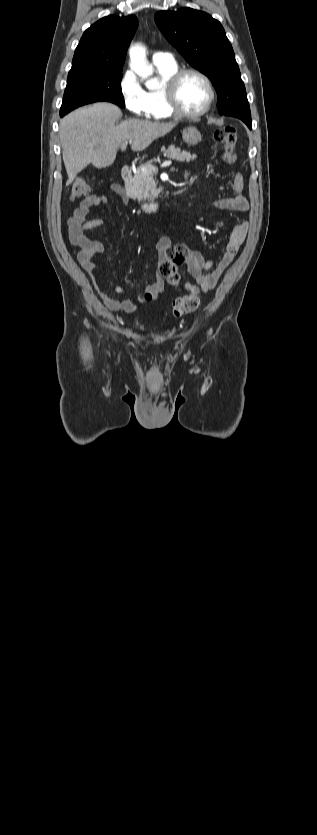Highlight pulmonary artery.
Instances as JSON below:
<instances>
[{
	"label": "pulmonary artery",
	"instance_id": "1",
	"mask_svg": "<svg viewBox=\"0 0 317 835\" xmlns=\"http://www.w3.org/2000/svg\"><path fill=\"white\" fill-rule=\"evenodd\" d=\"M154 65L170 64L174 62L173 56L166 52H156L152 56Z\"/></svg>",
	"mask_w": 317,
	"mask_h": 835
}]
</instances>
